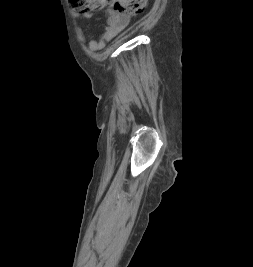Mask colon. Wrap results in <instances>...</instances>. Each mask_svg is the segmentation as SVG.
<instances>
[{"label": "colon", "instance_id": "5ec220e1", "mask_svg": "<svg viewBox=\"0 0 253 267\" xmlns=\"http://www.w3.org/2000/svg\"><path fill=\"white\" fill-rule=\"evenodd\" d=\"M146 2L147 0H69V6L80 12L112 7L120 13L135 15L144 10Z\"/></svg>", "mask_w": 253, "mask_h": 267}]
</instances>
